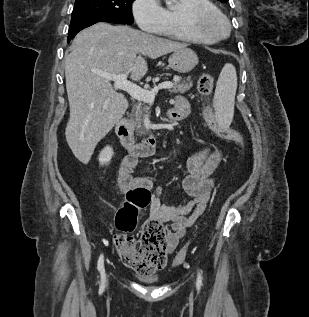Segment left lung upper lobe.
<instances>
[{
    "mask_svg": "<svg viewBox=\"0 0 309 317\" xmlns=\"http://www.w3.org/2000/svg\"><path fill=\"white\" fill-rule=\"evenodd\" d=\"M219 1H221V2H227L228 0H219Z\"/></svg>",
    "mask_w": 309,
    "mask_h": 317,
    "instance_id": "obj_1",
    "label": "left lung upper lobe"
}]
</instances>
